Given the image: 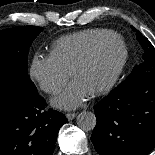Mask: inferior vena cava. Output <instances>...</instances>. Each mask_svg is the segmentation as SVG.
Masks as SVG:
<instances>
[{
	"mask_svg": "<svg viewBox=\"0 0 155 155\" xmlns=\"http://www.w3.org/2000/svg\"><path fill=\"white\" fill-rule=\"evenodd\" d=\"M48 89H49V90H54V89H56V88H55V86H53V85H49V86H48Z\"/></svg>",
	"mask_w": 155,
	"mask_h": 155,
	"instance_id": "inferior-vena-cava-1",
	"label": "inferior vena cava"
}]
</instances>
